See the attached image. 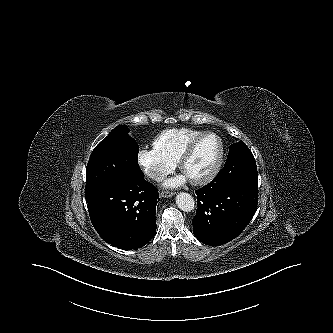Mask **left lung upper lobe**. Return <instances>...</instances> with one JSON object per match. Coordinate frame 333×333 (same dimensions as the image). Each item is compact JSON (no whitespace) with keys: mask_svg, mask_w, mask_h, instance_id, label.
I'll list each match as a JSON object with an SVG mask.
<instances>
[{"mask_svg":"<svg viewBox=\"0 0 333 333\" xmlns=\"http://www.w3.org/2000/svg\"><path fill=\"white\" fill-rule=\"evenodd\" d=\"M228 172L240 182L258 187V173L254 156L242 141L234 143L229 148L227 161L224 165Z\"/></svg>","mask_w":333,"mask_h":333,"instance_id":"obj_1","label":"left lung upper lobe"}]
</instances>
